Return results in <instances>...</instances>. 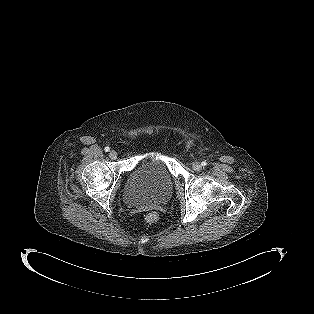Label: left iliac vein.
I'll return each mask as SVG.
<instances>
[{"mask_svg":"<svg viewBox=\"0 0 314 314\" xmlns=\"http://www.w3.org/2000/svg\"><path fill=\"white\" fill-rule=\"evenodd\" d=\"M192 167H193V169H194L195 171H200L201 168H202V165H201L200 162H194L193 165H192Z\"/></svg>","mask_w":314,"mask_h":314,"instance_id":"1","label":"left iliac vein"}]
</instances>
